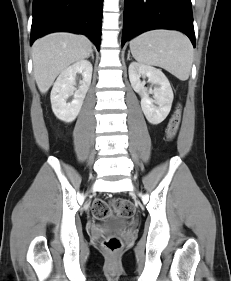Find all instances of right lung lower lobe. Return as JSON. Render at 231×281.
Segmentation results:
<instances>
[{
  "label": "right lung lower lobe",
  "mask_w": 231,
  "mask_h": 281,
  "mask_svg": "<svg viewBox=\"0 0 231 281\" xmlns=\"http://www.w3.org/2000/svg\"><path fill=\"white\" fill-rule=\"evenodd\" d=\"M103 0H33L32 44L53 32L88 36L99 49Z\"/></svg>",
  "instance_id": "right-lung-lower-lobe-1"
}]
</instances>
